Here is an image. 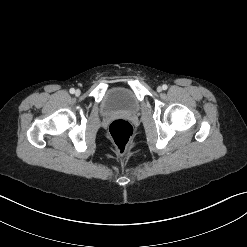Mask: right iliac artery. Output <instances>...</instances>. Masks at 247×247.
Returning a JSON list of instances; mask_svg holds the SVG:
<instances>
[{"label": "right iliac artery", "instance_id": "82829eb1", "mask_svg": "<svg viewBox=\"0 0 247 247\" xmlns=\"http://www.w3.org/2000/svg\"><path fill=\"white\" fill-rule=\"evenodd\" d=\"M70 93H71V94H74V93H75V89H74V88H71V89H70Z\"/></svg>", "mask_w": 247, "mask_h": 247}]
</instances>
